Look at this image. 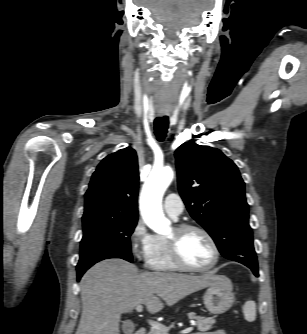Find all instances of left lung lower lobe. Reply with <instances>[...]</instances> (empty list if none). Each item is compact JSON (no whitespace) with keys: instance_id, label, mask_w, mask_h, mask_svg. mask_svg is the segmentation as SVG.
I'll list each match as a JSON object with an SVG mask.
<instances>
[{"instance_id":"1","label":"left lung lower lobe","mask_w":307,"mask_h":334,"mask_svg":"<svg viewBox=\"0 0 307 334\" xmlns=\"http://www.w3.org/2000/svg\"><path fill=\"white\" fill-rule=\"evenodd\" d=\"M242 264H243V263H242ZM244 265H246L247 267H249V268L253 271V273H254L256 276H258V265H257V263H256V264L246 263V264H244Z\"/></svg>"}]
</instances>
